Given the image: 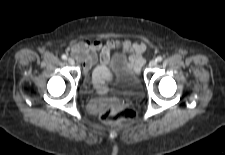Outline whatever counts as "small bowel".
I'll return each mask as SVG.
<instances>
[{
	"mask_svg": "<svg viewBox=\"0 0 225 155\" xmlns=\"http://www.w3.org/2000/svg\"><path fill=\"white\" fill-rule=\"evenodd\" d=\"M115 49L129 53L128 65L138 72L143 65L145 45L141 41L132 42L128 38L103 42L99 39H83L71 47L74 58L81 62L85 72L95 66L92 73V83L98 89H105L112 81V74L108 68L111 52ZM98 63V64H97Z\"/></svg>",
	"mask_w": 225,
	"mask_h": 155,
	"instance_id": "obj_1",
	"label": "small bowel"
}]
</instances>
